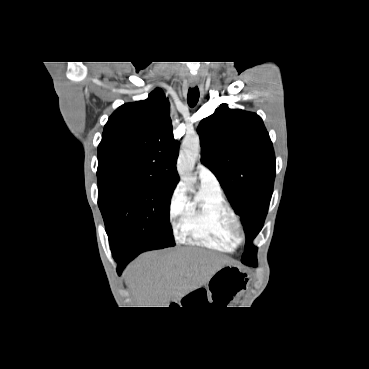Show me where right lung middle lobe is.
<instances>
[{"mask_svg":"<svg viewBox=\"0 0 369 369\" xmlns=\"http://www.w3.org/2000/svg\"><path fill=\"white\" fill-rule=\"evenodd\" d=\"M98 205L112 251L133 254L175 245L169 223L175 187L136 173L98 170Z\"/></svg>","mask_w":369,"mask_h":369,"instance_id":"obj_1","label":"right lung middle lobe"}]
</instances>
